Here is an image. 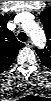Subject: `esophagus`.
Wrapping results in <instances>:
<instances>
[{
    "label": "esophagus",
    "mask_w": 51,
    "mask_h": 101,
    "mask_svg": "<svg viewBox=\"0 0 51 101\" xmlns=\"http://www.w3.org/2000/svg\"><path fill=\"white\" fill-rule=\"evenodd\" d=\"M26 45H27L28 47H32V46H33V41H32V40H28V41L26 42Z\"/></svg>",
    "instance_id": "obj_1"
}]
</instances>
